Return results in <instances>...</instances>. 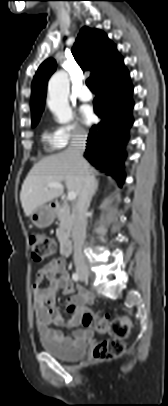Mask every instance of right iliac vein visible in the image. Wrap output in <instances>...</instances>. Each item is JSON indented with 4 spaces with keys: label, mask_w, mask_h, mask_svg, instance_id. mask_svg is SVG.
<instances>
[{
    "label": "right iliac vein",
    "mask_w": 168,
    "mask_h": 406,
    "mask_svg": "<svg viewBox=\"0 0 168 406\" xmlns=\"http://www.w3.org/2000/svg\"><path fill=\"white\" fill-rule=\"evenodd\" d=\"M78 274L80 275L82 280H88L90 277L89 270L84 267L78 269Z\"/></svg>",
    "instance_id": "right-iliac-vein-1"
}]
</instances>
